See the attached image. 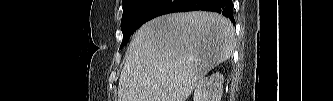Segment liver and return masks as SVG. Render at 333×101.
Listing matches in <instances>:
<instances>
[{"instance_id":"liver-1","label":"liver","mask_w":333,"mask_h":101,"mask_svg":"<svg viewBox=\"0 0 333 101\" xmlns=\"http://www.w3.org/2000/svg\"><path fill=\"white\" fill-rule=\"evenodd\" d=\"M234 50V26L212 12L172 13L145 23L126 55L118 101H186Z\"/></svg>"}]
</instances>
